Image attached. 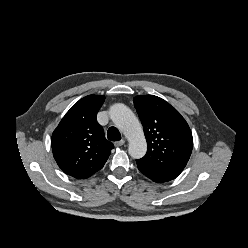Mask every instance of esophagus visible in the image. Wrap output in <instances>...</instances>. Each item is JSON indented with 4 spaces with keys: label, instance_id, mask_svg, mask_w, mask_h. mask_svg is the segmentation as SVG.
Listing matches in <instances>:
<instances>
[{
    "label": "esophagus",
    "instance_id": "esophagus-1",
    "mask_svg": "<svg viewBox=\"0 0 248 248\" xmlns=\"http://www.w3.org/2000/svg\"><path fill=\"white\" fill-rule=\"evenodd\" d=\"M124 143H125V140H120V141H116V142L114 143V145H115L116 147H121V146L124 145Z\"/></svg>",
    "mask_w": 248,
    "mask_h": 248
}]
</instances>
